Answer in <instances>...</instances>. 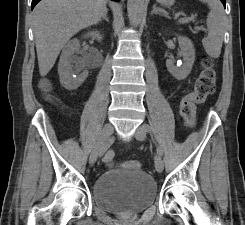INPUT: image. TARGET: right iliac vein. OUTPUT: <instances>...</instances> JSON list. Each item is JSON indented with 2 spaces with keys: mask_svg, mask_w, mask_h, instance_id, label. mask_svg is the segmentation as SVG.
<instances>
[{
  "mask_svg": "<svg viewBox=\"0 0 245 225\" xmlns=\"http://www.w3.org/2000/svg\"><path fill=\"white\" fill-rule=\"evenodd\" d=\"M113 132H114V128L111 124H106L103 127L100 133L99 139L90 154L89 161L91 165H93L97 161V158L103 152V147L106 145L108 140L111 138Z\"/></svg>",
  "mask_w": 245,
  "mask_h": 225,
  "instance_id": "obj_1",
  "label": "right iliac vein"
}]
</instances>
